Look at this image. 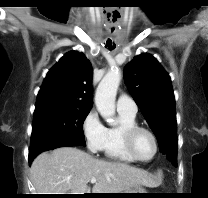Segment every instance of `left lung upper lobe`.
Instances as JSON below:
<instances>
[{"label":"left lung upper lobe","instance_id":"1","mask_svg":"<svg viewBox=\"0 0 208 198\" xmlns=\"http://www.w3.org/2000/svg\"><path fill=\"white\" fill-rule=\"evenodd\" d=\"M125 83L155 134L160 151L177 166L175 98L169 74L152 55L136 56L124 68Z\"/></svg>","mask_w":208,"mask_h":198}]
</instances>
